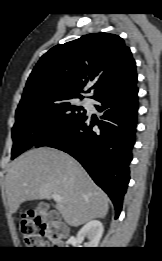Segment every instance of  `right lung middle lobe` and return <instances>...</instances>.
I'll return each mask as SVG.
<instances>
[{"label":"right lung middle lobe","mask_w":162,"mask_h":261,"mask_svg":"<svg viewBox=\"0 0 162 261\" xmlns=\"http://www.w3.org/2000/svg\"><path fill=\"white\" fill-rule=\"evenodd\" d=\"M73 97L78 96H37L20 102L12 129L11 159L48 135L84 117L86 111L80 112L83 108L71 103Z\"/></svg>","instance_id":"dd1d6c3e"}]
</instances>
